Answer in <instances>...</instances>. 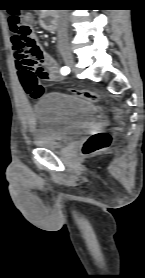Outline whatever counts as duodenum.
I'll return each instance as SVG.
<instances>
[{"instance_id":"410a0bca","label":"duodenum","mask_w":145,"mask_h":278,"mask_svg":"<svg viewBox=\"0 0 145 278\" xmlns=\"http://www.w3.org/2000/svg\"><path fill=\"white\" fill-rule=\"evenodd\" d=\"M40 23L43 25L50 33H55L58 29L57 22L51 14H45L40 18Z\"/></svg>"}]
</instances>
